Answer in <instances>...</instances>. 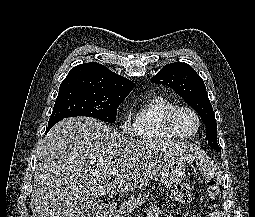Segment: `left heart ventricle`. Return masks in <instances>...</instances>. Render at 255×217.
Wrapping results in <instances>:
<instances>
[{"label": "left heart ventricle", "instance_id": "b2bd125f", "mask_svg": "<svg viewBox=\"0 0 255 217\" xmlns=\"http://www.w3.org/2000/svg\"><path fill=\"white\" fill-rule=\"evenodd\" d=\"M178 123L182 130L186 133L194 132L197 126L196 119L188 112H181L179 114Z\"/></svg>", "mask_w": 255, "mask_h": 217}]
</instances>
